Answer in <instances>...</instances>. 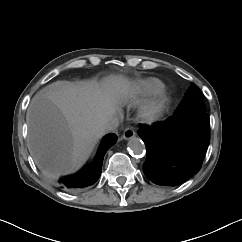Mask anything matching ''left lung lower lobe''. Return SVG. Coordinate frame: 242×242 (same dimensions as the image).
Masks as SVG:
<instances>
[{
	"mask_svg": "<svg viewBox=\"0 0 242 242\" xmlns=\"http://www.w3.org/2000/svg\"><path fill=\"white\" fill-rule=\"evenodd\" d=\"M206 112L170 117L151 126L139 124L138 135L146 145L143 172L153 183L177 186L201 168L210 143Z\"/></svg>",
	"mask_w": 242,
	"mask_h": 242,
	"instance_id": "obj_1",
	"label": "left lung lower lobe"
}]
</instances>
